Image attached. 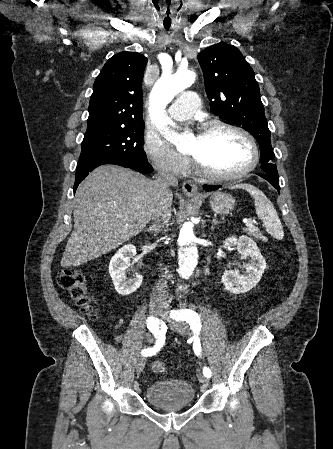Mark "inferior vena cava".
Instances as JSON below:
<instances>
[{
    "instance_id": "inferior-vena-cava-1",
    "label": "inferior vena cava",
    "mask_w": 333,
    "mask_h": 449,
    "mask_svg": "<svg viewBox=\"0 0 333 449\" xmlns=\"http://www.w3.org/2000/svg\"><path fill=\"white\" fill-rule=\"evenodd\" d=\"M157 189L156 206L153 210V219L157 221L160 228L164 226L168 227L169 220L171 218V209L168 202L169 187L178 184L177 178L167 169L160 170L158 177L155 181ZM165 285L163 279L156 284L155 290L151 296V303L157 301V299L165 293Z\"/></svg>"
}]
</instances>
